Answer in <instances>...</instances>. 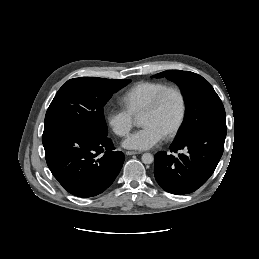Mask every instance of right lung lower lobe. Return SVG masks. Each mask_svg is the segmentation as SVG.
<instances>
[{"mask_svg":"<svg viewBox=\"0 0 259 259\" xmlns=\"http://www.w3.org/2000/svg\"><path fill=\"white\" fill-rule=\"evenodd\" d=\"M47 165L69 193L91 197L102 193L120 172L124 154L112 140L89 129L66 126L44 130Z\"/></svg>","mask_w":259,"mask_h":259,"instance_id":"right-lung-lower-lobe-1","label":"right lung lower lobe"}]
</instances>
